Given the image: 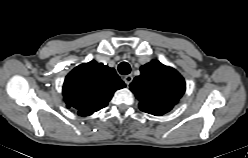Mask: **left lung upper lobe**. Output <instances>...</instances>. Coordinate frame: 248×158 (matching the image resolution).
<instances>
[{"mask_svg":"<svg viewBox=\"0 0 248 158\" xmlns=\"http://www.w3.org/2000/svg\"><path fill=\"white\" fill-rule=\"evenodd\" d=\"M140 71L141 75L130 84L131 91L140 101V109L153 115L169 112L185 92L183 77L157 60L145 64Z\"/></svg>","mask_w":248,"mask_h":158,"instance_id":"left-lung-upper-lobe-1","label":"left lung upper lobe"}]
</instances>
